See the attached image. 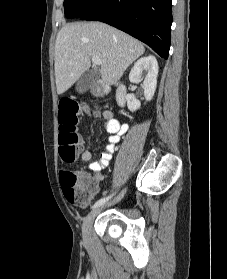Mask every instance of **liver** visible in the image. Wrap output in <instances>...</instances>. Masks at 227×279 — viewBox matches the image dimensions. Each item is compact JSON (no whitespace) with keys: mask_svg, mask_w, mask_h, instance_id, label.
I'll use <instances>...</instances> for the list:
<instances>
[{"mask_svg":"<svg viewBox=\"0 0 227 279\" xmlns=\"http://www.w3.org/2000/svg\"><path fill=\"white\" fill-rule=\"evenodd\" d=\"M144 51L142 43L104 23L67 24L55 44L57 93L66 92L90 68L92 57L101 59L102 80L113 85Z\"/></svg>","mask_w":227,"mask_h":279,"instance_id":"obj_1","label":"liver"}]
</instances>
